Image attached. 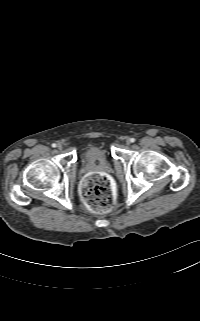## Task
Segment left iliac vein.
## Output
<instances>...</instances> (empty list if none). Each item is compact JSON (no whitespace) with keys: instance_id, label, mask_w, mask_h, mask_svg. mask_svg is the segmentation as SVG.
<instances>
[{"instance_id":"4c4485c4","label":"left iliac vein","mask_w":200,"mask_h":321,"mask_svg":"<svg viewBox=\"0 0 200 321\" xmlns=\"http://www.w3.org/2000/svg\"><path fill=\"white\" fill-rule=\"evenodd\" d=\"M130 143H131V139L128 138V139L126 140V144L129 145Z\"/></svg>"}]
</instances>
